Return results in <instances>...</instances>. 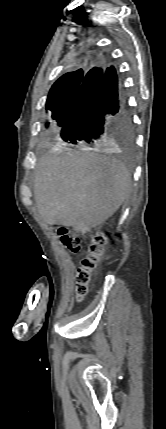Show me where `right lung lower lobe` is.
Segmentation results:
<instances>
[{"mask_svg": "<svg viewBox=\"0 0 166 429\" xmlns=\"http://www.w3.org/2000/svg\"><path fill=\"white\" fill-rule=\"evenodd\" d=\"M131 125L122 80L113 66L99 62L84 74L60 135L70 144L103 145L116 129Z\"/></svg>", "mask_w": 166, "mask_h": 429, "instance_id": "obj_1", "label": "right lung lower lobe"}]
</instances>
